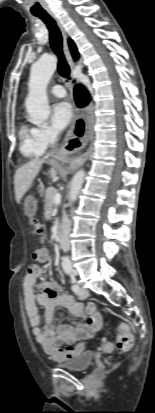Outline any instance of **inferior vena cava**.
Here are the masks:
<instances>
[{
  "mask_svg": "<svg viewBox=\"0 0 155 413\" xmlns=\"http://www.w3.org/2000/svg\"><path fill=\"white\" fill-rule=\"evenodd\" d=\"M57 134L53 132L50 136V143L53 145L56 142ZM71 230V221L67 216H64L61 223L60 244L66 252L69 250V233Z\"/></svg>",
  "mask_w": 155,
  "mask_h": 413,
  "instance_id": "obj_1",
  "label": "inferior vena cava"
}]
</instances>
